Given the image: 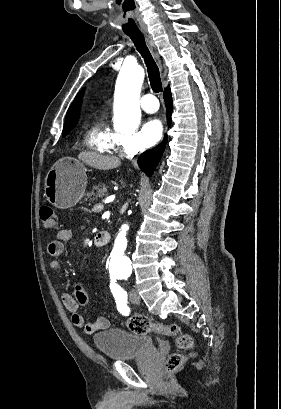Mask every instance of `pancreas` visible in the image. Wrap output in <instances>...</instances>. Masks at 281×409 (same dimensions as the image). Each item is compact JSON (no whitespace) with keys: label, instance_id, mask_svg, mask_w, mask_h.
Segmentation results:
<instances>
[{"label":"pancreas","instance_id":"1","mask_svg":"<svg viewBox=\"0 0 281 409\" xmlns=\"http://www.w3.org/2000/svg\"><path fill=\"white\" fill-rule=\"evenodd\" d=\"M103 196H108L106 184H96L92 190L86 192V200H95V198H103Z\"/></svg>","mask_w":281,"mask_h":409}]
</instances>
